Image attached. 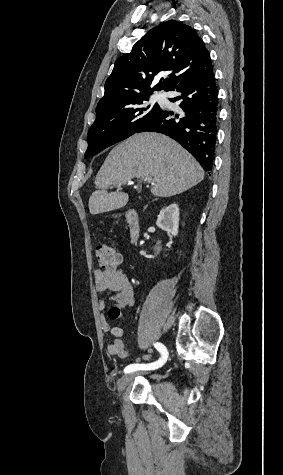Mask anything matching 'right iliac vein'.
I'll return each instance as SVG.
<instances>
[{
	"mask_svg": "<svg viewBox=\"0 0 283 475\" xmlns=\"http://www.w3.org/2000/svg\"><path fill=\"white\" fill-rule=\"evenodd\" d=\"M137 373H128L122 376V378L118 381L117 389L119 395H121L122 391L125 389L127 384L135 377Z\"/></svg>",
	"mask_w": 283,
	"mask_h": 475,
	"instance_id": "right-iliac-vein-1",
	"label": "right iliac vein"
}]
</instances>
